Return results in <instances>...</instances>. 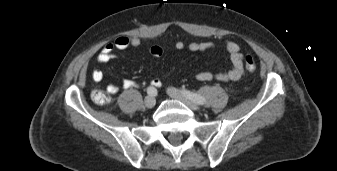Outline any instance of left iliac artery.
<instances>
[{"mask_svg":"<svg viewBox=\"0 0 337 171\" xmlns=\"http://www.w3.org/2000/svg\"><path fill=\"white\" fill-rule=\"evenodd\" d=\"M183 93L193 102L197 103V104H204L205 103V99L200 96L199 94L184 90Z\"/></svg>","mask_w":337,"mask_h":171,"instance_id":"left-iliac-artery-1","label":"left iliac artery"}]
</instances>
